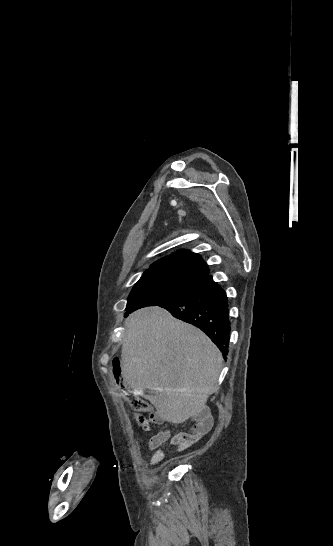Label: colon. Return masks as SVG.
Here are the masks:
<instances>
[{
	"mask_svg": "<svg viewBox=\"0 0 333 546\" xmlns=\"http://www.w3.org/2000/svg\"><path fill=\"white\" fill-rule=\"evenodd\" d=\"M120 372H121V368H120L119 360L115 359L113 361V373H114V375L116 377H118L120 375ZM128 400H129V404H130V406L132 407L133 410H135L137 412L150 414V418H147V417H145V416H143L141 414H136L135 415V420H136L139 428L145 433L150 432L151 431V421H152V416H153L151 405L146 400L142 399L139 396L133 395V394H130L128 396Z\"/></svg>",
	"mask_w": 333,
	"mask_h": 546,
	"instance_id": "colon-1",
	"label": "colon"
}]
</instances>
